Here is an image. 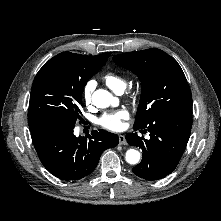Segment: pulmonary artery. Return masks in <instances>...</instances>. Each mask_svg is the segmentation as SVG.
<instances>
[{
  "label": "pulmonary artery",
  "mask_w": 221,
  "mask_h": 221,
  "mask_svg": "<svg viewBox=\"0 0 221 221\" xmlns=\"http://www.w3.org/2000/svg\"><path fill=\"white\" fill-rule=\"evenodd\" d=\"M122 92H123V90H120V91H118L117 93H118V94H121Z\"/></svg>",
  "instance_id": "pulmonary-artery-1"
}]
</instances>
